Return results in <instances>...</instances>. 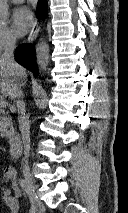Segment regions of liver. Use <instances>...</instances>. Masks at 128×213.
<instances>
[{"label": "liver", "mask_w": 128, "mask_h": 213, "mask_svg": "<svg viewBox=\"0 0 128 213\" xmlns=\"http://www.w3.org/2000/svg\"><path fill=\"white\" fill-rule=\"evenodd\" d=\"M26 80V72L21 67L19 75H14L10 66L0 58V93L10 96L16 84Z\"/></svg>", "instance_id": "obj_1"}]
</instances>
